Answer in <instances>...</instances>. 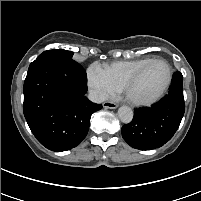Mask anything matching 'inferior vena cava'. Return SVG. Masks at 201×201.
<instances>
[{"mask_svg": "<svg viewBox=\"0 0 201 201\" xmlns=\"http://www.w3.org/2000/svg\"><path fill=\"white\" fill-rule=\"evenodd\" d=\"M88 98L94 103H102L107 99V95L97 90H90Z\"/></svg>", "mask_w": 201, "mask_h": 201, "instance_id": "inferior-vena-cava-1", "label": "inferior vena cava"}]
</instances>
